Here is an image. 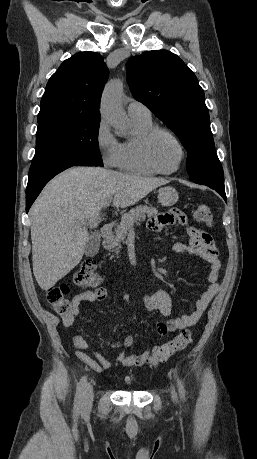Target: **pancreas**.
<instances>
[{
  "instance_id": "pancreas-1",
  "label": "pancreas",
  "mask_w": 257,
  "mask_h": 459,
  "mask_svg": "<svg viewBox=\"0 0 257 459\" xmlns=\"http://www.w3.org/2000/svg\"><path fill=\"white\" fill-rule=\"evenodd\" d=\"M158 210L147 205H139L124 214L121 218V223L115 229V232L109 233L104 242V248L109 251L117 250V247L125 239L131 226L138 221L144 220L146 216L151 218L156 215ZM117 254L119 251L116 252Z\"/></svg>"
}]
</instances>
